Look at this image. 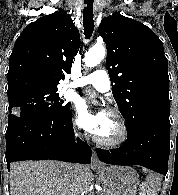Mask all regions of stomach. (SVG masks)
<instances>
[{"label":"stomach","mask_w":178,"mask_h":195,"mask_svg":"<svg viewBox=\"0 0 178 195\" xmlns=\"http://www.w3.org/2000/svg\"><path fill=\"white\" fill-rule=\"evenodd\" d=\"M105 195H137L139 175L128 166H103L97 170Z\"/></svg>","instance_id":"0dacf381"}]
</instances>
